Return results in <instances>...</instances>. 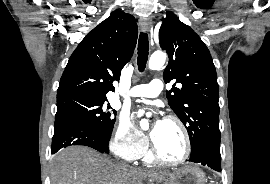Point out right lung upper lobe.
I'll use <instances>...</instances> for the list:
<instances>
[{
  "mask_svg": "<svg viewBox=\"0 0 270 184\" xmlns=\"http://www.w3.org/2000/svg\"><path fill=\"white\" fill-rule=\"evenodd\" d=\"M138 28L135 18L120 10L90 31L75 49L61 77L57 98L81 95L106 99L113 80L133 55Z\"/></svg>",
  "mask_w": 270,
  "mask_h": 184,
  "instance_id": "1",
  "label": "right lung upper lobe"
}]
</instances>
